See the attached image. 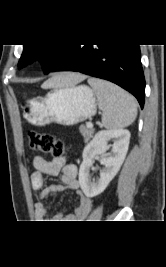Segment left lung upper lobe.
Here are the masks:
<instances>
[{
	"label": "left lung upper lobe",
	"instance_id": "1",
	"mask_svg": "<svg viewBox=\"0 0 166 267\" xmlns=\"http://www.w3.org/2000/svg\"><path fill=\"white\" fill-rule=\"evenodd\" d=\"M66 45H23V53L18 67L32 63L34 60H41L43 70L49 73L50 69L57 62L62 50Z\"/></svg>",
	"mask_w": 166,
	"mask_h": 267
}]
</instances>
